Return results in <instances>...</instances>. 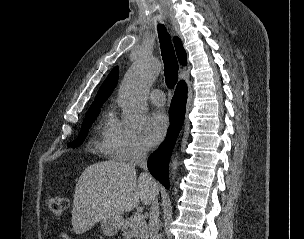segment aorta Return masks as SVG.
Listing matches in <instances>:
<instances>
[{"label": "aorta", "instance_id": "obj_1", "mask_svg": "<svg viewBox=\"0 0 304 239\" xmlns=\"http://www.w3.org/2000/svg\"><path fill=\"white\" fill-rule=\"evenodd\" d=\"M159 71V65L154 59L142 56L127 72L120 88L119 101L123 108L124 118L128 122L140 124L146 119V95ZM178 166V157H175L170 163L172 178L175 177Z\"/></svg>", "mask_w": 304, "mask_h": 239}]
</instances>
